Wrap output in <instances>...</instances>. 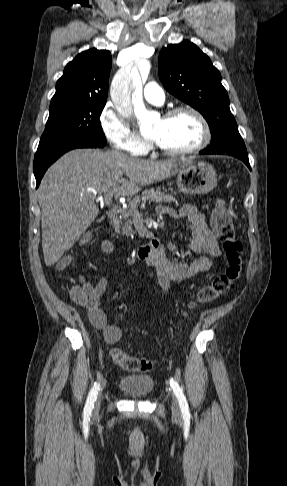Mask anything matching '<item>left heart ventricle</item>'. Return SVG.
Masks as SVG:
<instances>
[{"instance_id":"b2bd125f","label":"left heart ventricle","mask_w":287,"mask_h":486,"mask_svg":"<svg viewBox=\"0 0 287 486\" xmlns=\"http://www.w3.org/2000/svg\"><path fill=\"white\" fill-rule=\"evenodd\" d=\"M199 122L184 113L171 119H159L149 135L160 146L170 150H183L195 146L201 139Z\"/></svg>"}]
</instances>
